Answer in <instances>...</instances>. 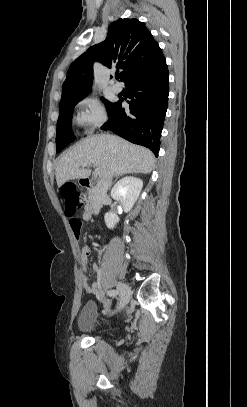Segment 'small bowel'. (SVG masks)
Returning a JSON list of instances; mask_svg holds the SVG:
<instances>
[{"label":"small bowel","instance_id":"1","mask_svg":"<svg viewBox=\"0 0 247 407\" xmlns=\"http://www.w3.org/2000/svg\"><path fill=\"white\" fill-rule=\"evenodd\" d=\"M90 254V250L88 247H83L81 251V256H80V261L82 264V272H83V288L85 289L86 292L91 293V294H96L98 293L99 290V284L97 282L93 284H88L87 281V263H88V257ZM93 270L95 273L99 272V267L98 265L93 266ZM103 304L106 308H109L111 306V301L109 299H103Z\"/></svg>","mask_w":247,"mask_h":407}]
</instances>
